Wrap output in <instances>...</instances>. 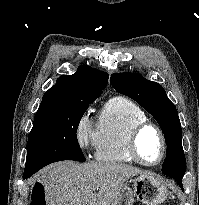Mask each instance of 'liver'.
Instances as JSON below:
<instances>
[{
	"instance_id": "liver-1",
	"label": "liver",
	"mask_w": 199,
	"mask_h": 205,
	"mask_svg": "<svg viewBox=\"0 0 199 205\" xmlns=\"http://www.w3.org/2000/svg\"><path fill=\"white\" fill-rule=\"evenodd\" d=\"M142 174L122 163L64 161L47 166L36 177L44 186L48 205H110L128 179Z\"/></svg>"
}]
</instances>
